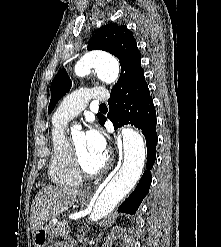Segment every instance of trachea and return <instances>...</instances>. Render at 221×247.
<instances>
[{
    "instance_id": "trachea-1",
    "label": "trachea",
    "mask_w": 221,
    "mask_h": 247,
    "mask_svg": "<svg viewBox=\"0 0 221 247\" xmlns=\"http://www.w3.org/2000/svg\"><path fill=\"white\" fill-rule=\"evenodd\" d=\"M99 109H100V110H102V109H107V106H106L105 104H101V105L99 106Z\"/></svg>"
}]
</instances>
